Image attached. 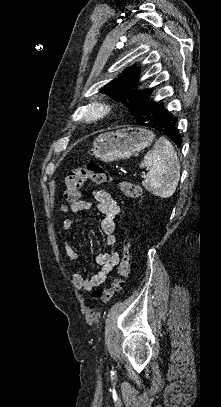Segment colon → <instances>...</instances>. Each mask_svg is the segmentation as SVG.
Instances as JSON below:
<instances>
[{"instance_id": "5ec220e1", "label": "colon", "mask_w": 221, "mask_h": 407, "mask_svg": "<svg viewBox=\"0 0 221 407\" xmlns=\"http://www.w3.org/2000/svg\"><path fill=\"white\" fill-rule=\"evenodd\" d=\"M86 180L95 184H108L113 181V177L108 170L97 162H88L85 167L70 170L64 182L63 205L65 207L74 206L81 201V188ZM120 189L129 199H137L141 194V187L130 181H122ZM116 264L118 277L111 287L97 288L93 291L95 301L106 303L115 293L123 289L131 266V251L128 241L124 242L120 259Z\"/></svg>"}]
</instances>
